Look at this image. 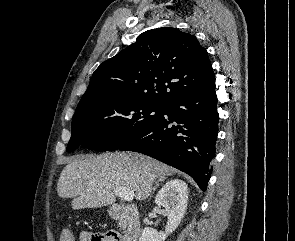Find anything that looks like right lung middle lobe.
I'll use <instances>...</instances> for the list:
<instances>
[{"label":"right lung middle lobe","instance_id":"1","mask_svg":"<svg viewBox=\"0 0 295 241\" xmlns=\"http://www.w3.org/2000/svg\"><path fill=\"white\" fill-rule=\"evenodd\" d=\"M162 106L115 95L82 99L74 113L67 152L79 146L95 151L117 149L132 135L155 120Z\"/></svg>","mask_w":295,"mask_h":241}]
</instances>
